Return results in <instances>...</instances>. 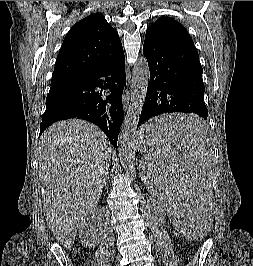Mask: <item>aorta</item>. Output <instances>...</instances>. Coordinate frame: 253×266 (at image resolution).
Wrapping results in <instances>:
<instances>
[{"label": "aorta", "mask_w": 253, "mask_h": 266, "mask_svg": "<svg viewBox=\"0 0 253 266\" xmlns=\"http://www.w3.org/2000/svg\"><path fill=\"white\" fill-rule=\"evenodd\" d=\"M150 71L148 62L141 58L132 71V94L128 111L118 137V151L121 165L129 168L134 155L135 133L145 102Z\"/></svg>", "instance_id": "762f6f07"}]
</instances>
